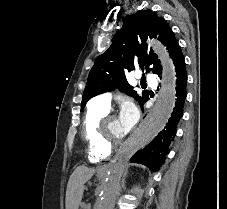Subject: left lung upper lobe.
<instances>
[{
    "label": "left lung upper lobe",
    "instance_id": "obj_1",
    "mask_svg": "<svg viewBox=\"0 0 227 209\" xmlns=\"http://www.w3.org/2000/svg\"><path fill=\"white\" fill-rule=\"evenodd\" d=\"M148 37L161 41L174 60L179 45L163 17L152 10L139 11L127 16L110 47L95 60L83 93L81 111L90 98L116 88L134 97L143 107V104L149 100V93L143 92L142 96H138L126 80V75L136 66H140L142 70L146 68L147 72L161 74L160 60L146 45ZM139 40L142 44H139Z\"/></svg>",
    "mask_w": 227,
    "mask_h": 209
}]
</instances>
